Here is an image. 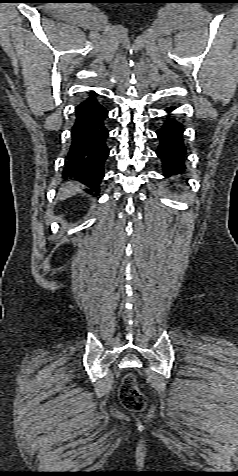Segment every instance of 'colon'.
Here are the masks:
<instances>
[{
  "mask_svg": "<svg viewBox=\"0 0 238 476\" xmlns=\"http://www.w3.org/2000/svg\"><path fill=\"white\" fill-rule=\"evenodd\" d=\"M119 398L127 409L140 411L145 406V397L137 386V381L133 374H126L120 385Z\"/></svg>",
  "mask_w": 238,
  "mask_h": 476,
  "instance_id": "obj_1",
  "label": "colon"
}]
</instances>
